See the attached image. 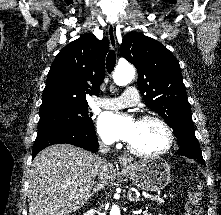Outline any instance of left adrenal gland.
<instances>
[{
	"label": "left adrenal gland",
	"mask_w": 221,
	"mask_h": 215,
	"mask_svg": "<svg viewBox=\"0 0 221 215\" xmlns=\"http://www.w3.org/2000/svg\"><path fill=\"white\" fill-rule=\"evenodd\" d=\"M127 198H128V200L131 201V202H132V201H139V200H140L139 198L133 197L131 191H128Z\"/></svg>",
	"instance_id": "1"
}]
</instances>
